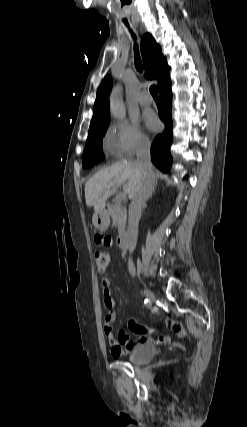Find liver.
<instances>
[{"mask_svg": "<svg viewBox=\"0 0 247 427\" xmlns=\"http://www.w3.org/2000/svg\"><path fill=\"white\" fill-rule=\"evenodd\" d=\"M142 178V170L134 160H122L103 168L85 184L86 205L92 206L97 212L122 184H124V192L128 193L129 198H133L140 188Z\"/></svg>", "mask_w": 247, "mask_h": 427, "instance_id": "liver-1", "label": "liver"}]
</instances>
